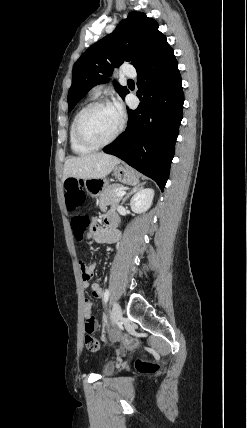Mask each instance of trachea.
I'll use <instances>...</instances> for the list:
<instances>
[{"instance_id": "obj_1", "label": "trachea", "mask_w": 247, "mask_h": 428, "mask_svg": "<svg viewBox=\"0 0 247 428\" xmlns=\"http://www.w3.org/2000/svg\"><path fill=\"white\" fill-rule=\"evenodd\" d=\"M129 82H133L131 79L128 80Z\"/></svg>"}]
</instances>
